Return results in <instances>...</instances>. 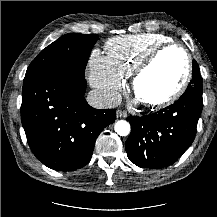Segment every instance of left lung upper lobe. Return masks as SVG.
<instances>
[{
  "label": "left lung upper lobe",
  "mask_w": 217,
  "mask_h": 217,
  "mask_svg": "<svg viewBox=\"0 0 217 217\" xmlns=\"http://www.w3.org/2000/svg\"><path fill=\"white\" fill-rule=\"evenodd\" d=\"M187 90L202 94V77L200 76L199 66L195 60H193V77L186 91Z\"/></svg>",
  "instance_id": "left-lung-upper-lobe-1"
}]
</instances>
